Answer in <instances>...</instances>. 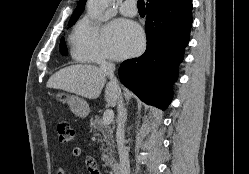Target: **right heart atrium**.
Returning a JSON list of instances; mask_svg holds the SVG:
<instances>
[{
	"mask_svg": "<svg viewBox=\"0 0 249 174\" xmlns=\"http://www.w3.org/2000/svg\"><path fill=\"white\" fill-rule=\"evenodd\" d=\"M103 27L100 22L83 19L73 35V55L81 62L105 63L109 60L103 45Z\"/></svg>",
	"mask_w": 249,
	"mask_h": 174,
	"instance_id": "right-heart-atrium-1",
	"label": "right heart atrium"
}]
</instances>
